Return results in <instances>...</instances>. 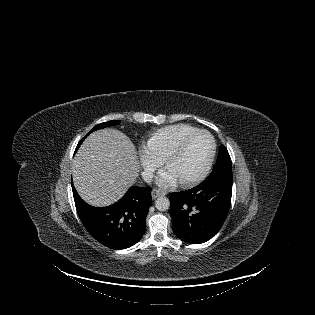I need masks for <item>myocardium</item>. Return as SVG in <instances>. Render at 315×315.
I'll list each match as a JSON object with an SVG mask.
<instances>
[{"label":"myocardium","mask_w":315,"mask_h":315,"mask_svg":"<svg viewBox=\"0 0 315 315\" xmlns=\"http://www.w3.org/2000/svg\"><path fill=\"white\" fill-rule=\"evenodd\" d=\"M198 134H206L211 142V150H210V154L208 157V160L204 166V168L195 176L188 178V179H184V180H180V183L184 186H191L194 184H197L199 182H201L209 173L214 159H215V155H216V142L215 139L213 137V135L208 132L207 130H203V129H197L194 132H191L189 134H187L186 136H184L176 145L175 147L167 154V156L164 159V165L165 167L168 169L169 164L171 163V161L173 159H175L177 156H179L182 151L184 150L186 144L196 135Z\"/></svg>","instance_id":"1"}]
</instances>
